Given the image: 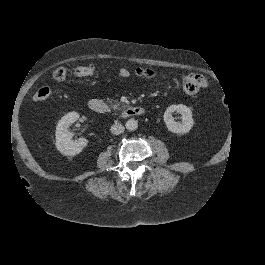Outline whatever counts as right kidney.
<instances>
[{"label":"right kidney","mask_w":265,"mask_h":265,"mask_svg":"<svg viewBox=\"0 0 265 265\" xmlns=\"http://www.w3.org/2000/svg\"><path fill=\"white\" fill-rule=\"evenodd\" d=\"M78 118L79 114L77 112H69L59 120L56 126V148L63 155L74 156L79 154L88 144L86 138H79L73 141V134L68 130L69 126L77 121Z\"/></svg>","instance_id":"obj_1"}]
</instances>
